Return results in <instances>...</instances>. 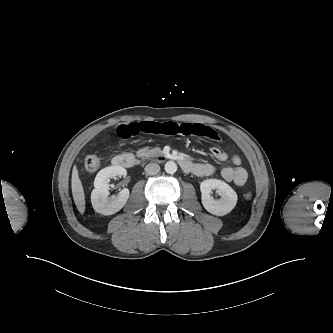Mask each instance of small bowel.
<instances>
[{
  "instance_id": "obj_1",
  "label": "small bowel",
  "mask_w": 333,
  "mask_h": 333,
  "mask_svg": "<svg viewBox=\"0 0 333 333\" xmlns=\"http://www.w3.org/2000/svg\"><path fill=\"white\" fill-rule=\"evenodd\" d=\"M140 133L148 134H163V135H185V136H199L205 137L214 141L219 140L217 132L203 124L199 123H157L152 121H144L138 123H125L121 124L117 128V134L124 140L133 138ZM212 156L218 161L231 160L232 166L224 167L220 170V176L227 182H233L238 186H242L246 183L248 173L241 165V159L238 155H229L226 151L221 150L218 147H212L210 149ZM216 172V168L209 163H197L194 164L192 173L207 177Z\"/></svg>"
}]
</instances>
